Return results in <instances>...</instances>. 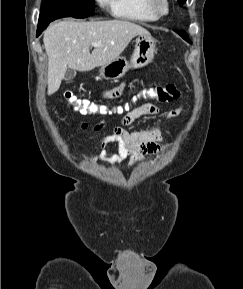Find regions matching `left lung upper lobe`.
Segmentation results:
<instances>
[{"label": "left lung upper lobe", "instance_id": "5c2ea615", "mask_svg": "<svg viewBox=\"0 0 243 289\" xmlns=\"http://www.w3.org/2000/svg\"><path fill=\"white\" fill-rule=\"evenodd\" d=\"M179 3L183 4L186 2V0H178Z\"/></svg>", "mask_w": 243, "mask_h": 289}]
</instances>
